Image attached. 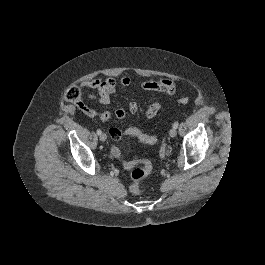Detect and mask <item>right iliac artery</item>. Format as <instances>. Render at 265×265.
I'll list each match as a JSON object with an SVG mask.
<instances>
[{
	"label": "right iliac artery",
	"instance_id": "right-iliac-artery-1",
	"mask_svg": "<svg viewBox=\"0 0 265 265\" xmlns=\"http://www.w3.org/2000/svg\"><path fill=\"white\" fill-rule=\"evenodd\" d=\"M102 131L100 129H97V134L100 135Z\"/></svg>",
	"mask_w": 265,
	"mask_h": 265
}]
</instances>
